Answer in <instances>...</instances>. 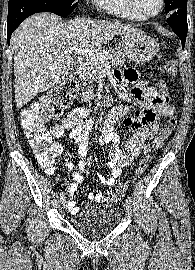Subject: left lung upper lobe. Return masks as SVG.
Masks as SVG:
<instances>
[{
  "label": "left lung upper lobe",
  "mask_w": 195,
  "mask_h": 270,
  "mask_svg": "<svg viewBox=\"0 0 195 270\" xmlns=\"http://www.w3.org/2000/svg\"><path fill=\"white\" fill-rule=\"evenodd\" d=\"M167 13L177 9H187V0H164Z\"/></svg>",
  "instance_id": "5c2ea615"
}]
</instances>
